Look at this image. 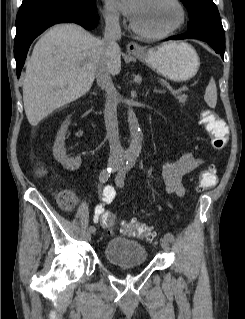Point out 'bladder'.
Returning <instances> with one entry per match:
<instances>
[{"mask_svg": "<svg viewBox=\"0 0 245 319\" xmlns=\"http://www.w3.org/2000/svg\"><path fill=\"white\" fill-rule=\"evenodd\" d=\"M103 251L106 261L120 268L134 267L148 261L146 247L137 241L124 237L110 239Z\"/></svg>", "mask_w": 245, "mask_h": 319, "instance_id": "31cf9c89", "label": "bladder"}]
</instances>
